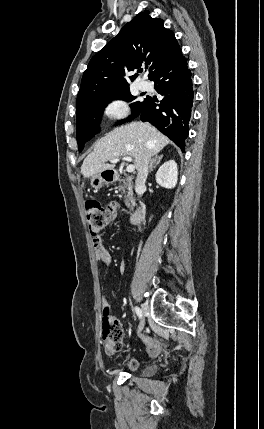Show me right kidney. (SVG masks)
I'll list each match as a JSON object with an SVG mask.
<instances>
[{
	"label": "right kidney",
	"instance_id": "1",
	"mask_svg": "<svg viewBox=\"0 0 264 429\" xmlns=\"http://www.w3.org/2000/svg\"><path fill=\"white\" fill-rule=\"evenodd\" d=\"M156 181L164 188L172 189L177 184L178 168L174 160L166 161L155 175Z\"/></svg>",
	"mask_w": 264,
	"mask_h": 429
}]
</instances>
